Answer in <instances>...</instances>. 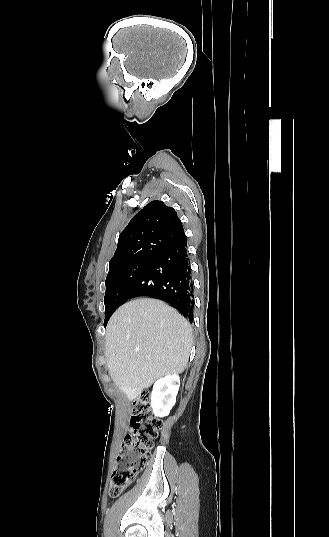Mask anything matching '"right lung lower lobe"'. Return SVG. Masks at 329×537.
<instances>
[{
  "label": "right lung lower lobe",
  "mask_w": 329,
  "mask_h": 537,
  "mask_svg": "<svg viewBox=\"0 0 329 537\" xmlns=\"http://www.w3.org/2000/svg\"><path fill=\"white\" fill-rule=\"evenodd\" d=\"M138 296L166 301L193 321L194 289L186 237L152 260L126 291L122 303Z\"/></svg>",
  "instance_id": "obj_1"
}]
</instances>
